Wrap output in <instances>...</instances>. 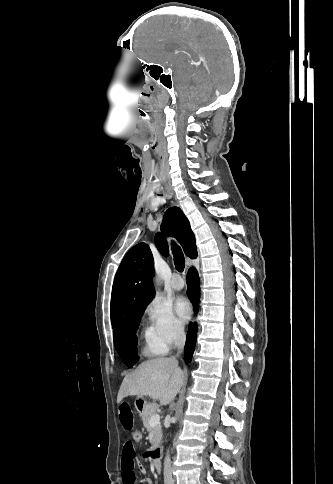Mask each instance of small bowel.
Masks as SVG:
<instances>
[{"label": "small bowel", "mask_w": 333, "mask_h": 484, "mask_svg": "<svg viewBox=\"0 0 333 484\" xmlns=\"http://www.w3.org/2000/svg\"><path fill=\"white\" fill-rule=\"evenodd\" d=\"M118 419L121 427L126 432H133L134 430V414L130 404L122 401L118 406ZM136 454L133 443L126 441L123 445V453L121 459L122 481L123 484H135V463H137L139 470L145 473V468L139 462H136ZM143 483L150 484L149 479H143Z\"/></svg>", "instance_id": "1"}]
</instances>
